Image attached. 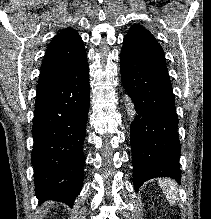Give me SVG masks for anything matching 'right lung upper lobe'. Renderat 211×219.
I'll list each match as a JSON object with an SVG mask.
<instances>
[{
	"instance_id": "obj_1",
	"label": "right lung upper lobe",
	"mask_w": 211,
	"mask_h": 219,
	"mask_svg": "<svg viewBox=\"0 0 211 219\" xmlns=\"http://www.w3.org/2000/svg\"><path fill=\"white\" fill-rule=\"evenodd\" d=\"M86 59V51L77 31L73 28L62 30L46 50L37 89L59 79Z\"/></svg>"
}]
</instances>
